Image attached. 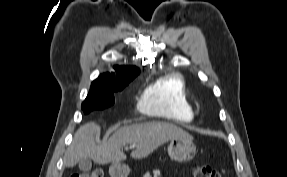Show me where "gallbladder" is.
I'll list each match as a JSON object with an SVG mask.
<instances>
[{
    "instance_id": "bac80fb5",
    "label": "gallbladder",
    "mask_w": 287,
    "mask_h": 177,
    "mask_svg": "<svg viewBox=\"0 0 287 177\" xmlns=\"http://www.w3.org/2000/svg\"><path fill=\"white\" fill-rule=\"evenodd\" d=\"M79 169L83 172H87L92 168V161L89 158L81 159L78 162Z\"/></svg>"
}]
</instances>
